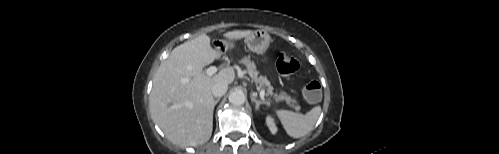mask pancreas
I'll use <instances>...</instances> for the list:
<instances>
[{"label":"pancreas","mask_w":499,"mask_h":154,"mask_svg":"<svg viewBox=\"0 0 499 154\" xmlns=\"http://www.w3.org/2000/svg\"><path fill=\"white\" fill-rule=\"evenodd\" d=\"M243 64L246 65L249 75L254 81L259 84L260 87H266L267 95L273 96L277 101H285L289 107H292L296 110L300 109V105L297 101L291 96L287 95L286 92H280L279 94L273 93V87L271 83L267 80L266 77L259 75V72L256 70V65L253 61L250 60V57H245L241 60Z\"/></svg>","instance_id":"1"}]
</instances>
